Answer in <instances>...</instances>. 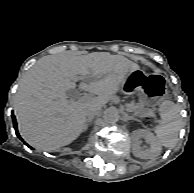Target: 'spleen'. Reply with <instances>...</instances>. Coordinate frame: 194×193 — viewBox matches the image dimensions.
<instances>
[{
  "instance_id": "obj_1",
  "label": "spleen",
  "mask_w": 194,
  "mask_h": 193,
  "mask_svg": "<svg viewBox=\"0 0 194 193\" xmlns=\"http://www.w3.org/2000/svg\"><path fill=\"white\" fill-rule=\"evenodd\" d=\"M160 123L155 127L157 139L161 145L172 147L176 144L182 127L180 107L172 101L166 100L160 106Z\"/></svg>"
}]
</instances>
